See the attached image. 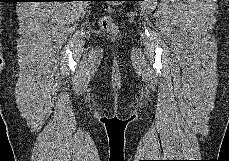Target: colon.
I'll list each match as a JSON object with an SVG mask.
<instances>
[{
    "mask_svg": "<svg viewBox=\"0 0 229 161\" xmlns=\"http://www.w3.org/2000/svg\"><path fill=\"white\" fill-rule=\"evenodd\" d=\"M113 5H110L108 9H110ZM101 29L109 34H117L118 33V27L116 23L113 21L112 16L110 14H106L100 18L99 21Z\"/></svg>",
    "mask_w": 229,
    "mask_h": 161,
    "instance_id": "colon-1",
    "label": "colon"
}]
</instances>
